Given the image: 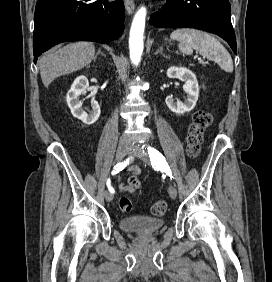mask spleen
I'll return each mask as SVG.
<instances>
[{
    "label": "spleen",
    "instance_id": "spleen-1",
    "mask_svg": "<svg viewBox=\"0 0 272 282\" xmlns=\"http://www.w3.org/2000/svg\"><path fill=\"white\" fill-rule=\"evenodd\" d=\"M171 39L179 41V50L191 55L193 50L202 56L216 61L221 69L233 72V61L225 47L212 35L196 29H177L170 35Z\"/></svg>",
    "mask_w": 272,
    "mask_h": 282
}]
</instances>
